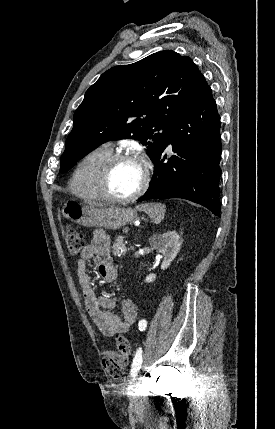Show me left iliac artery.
I'll return each mask as SVG.
<instances>
[{"label": "left iliac artery", "mask_w": 275, "mask_h": 429, "mask_svg": "<svg viewBox=\"0 0 275 429\" xmlns=\"http://www.w3.org/2000/svg\"><path fill=\"white\" fill-rule=\"evenodd\" d=\"M138 326H139L140 331H144L147 327V321L145 319L140 320ZM141 364H142V350H141V348H139L136 351V354H135V357L133 359V363L131 366V376L132 377L137 376V374L141 368Z\"/></svg>", "instance_id": "obj_1"}]
</instances>
